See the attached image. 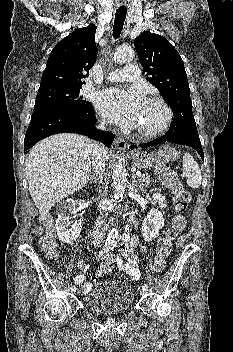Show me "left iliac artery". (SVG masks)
<instances>
[{"instance_id": "obj_1", "label": "left iliac artery", "mask_w": 233, "mask_h": 352, "mask_svg": "<svg viewBox=\"0 0 233 352\" xmlns=\"http://www.w3.org/2000/svg\"><path fill=\"white\" fill-rule=\"evenodd\" d=\"M142 289H144V290H148V285L147 284H144L143 286H142Z\"/></svg>"}]
</instances>
